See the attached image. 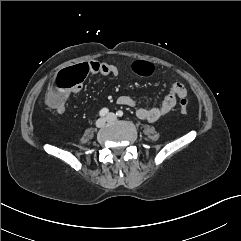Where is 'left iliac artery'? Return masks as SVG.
<instances>
[{
	"label": "left iliac artery",
	"mask_w": 241,
	"mask_h": 241,
	"mask_svg": "<svg viewBox=\"0 0 241 241\" xmlns=\"http://www.w3.org/2000/svg\"><path fill=\"white\" fill-rule=\"evenodd\" d=\"M116 115H117L118 117H122V116H123V111H121V110L117 111V112H116Z\"/></svg>",
	"instance_id": "1"
}]
</instances>
